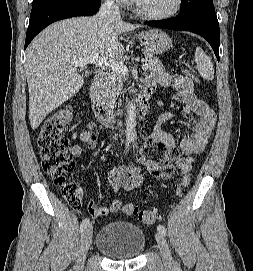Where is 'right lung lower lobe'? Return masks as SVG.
Listing matches in <instances>:
<instances>
[{
  "label": "right lung lower lobe",
  "instance_id": "1",
  "mask_svg": "<svg viewBox=\"0 0 253 271\" xmlns=\"http://www.w3.org/2000/svg\"><path fill=\"white\" fill-rule=\"evenodd\" d=\"M100 4L101 0H72L52 4L31 13L26 34L25 48L31 40L49 24L74 16L94 15Z\"/></svg>",
  "mask_w": 253,
  "mask_h": 271
}]
</instances>
